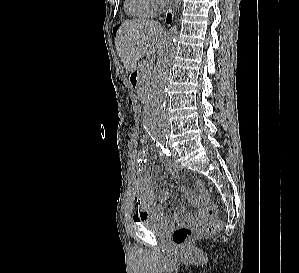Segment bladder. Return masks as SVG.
Here are the masks:
<instances>
[{
    "mask_svg": "<svg viewBox=\"0 0 299 273\" xmlns=\"http://www.w3.org/2000/svg\"><path fill=\"white\" fill-rule=\"evenodd\" d=\"M137 223L142 224L157 233H163L165 231L164 221L162 220V218L154 214H148L142 220L137 221Z\"/></svg>",
    "mask_w": 299,
    "mask_h": 273,
    "instance_id": "obj_1",
    "label": "bladder"
}]
</instances>
